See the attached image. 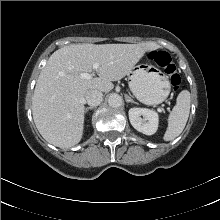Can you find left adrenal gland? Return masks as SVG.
Segmentation results:
<instances>
[{
    "instance_id": "left-adrenal-gland-1",
    "label": "left adrenal gland",
    "mask_w": 220,
    "mask_h": 220,
    "mask_svg": "<svg viewBox=\"0 0 220 220\" xmlns=\"http://www.w3.org/2000/svg\"><path fill=\"white\" fill-rule=\"evenodd\" d=\"M125 99H126V102H131V103H134V104H138L136 101H134L130 96L128 95H125Z\"/></svg>"
}]
</instances>
